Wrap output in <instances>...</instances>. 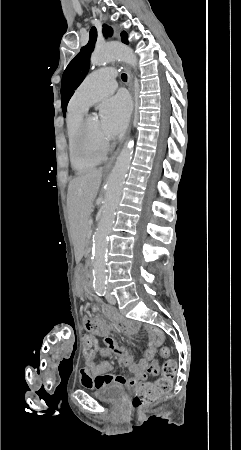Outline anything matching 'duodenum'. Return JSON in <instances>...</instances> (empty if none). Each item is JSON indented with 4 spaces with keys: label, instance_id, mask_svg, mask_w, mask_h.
<instances>
[{
    "label": "duodenum",
    "instance_id": "410a0bca",
    "mask_svg": "<svg viewBox=\"0 0 241 450\" xmlns=\"http://www.w3.org/2000/svg\"><path fill=\"white\" fill-rule=\"evenodd\" d=\"M86 270H87V278H86V287L88 290H93V265L92 261L89 259L86 263Z\"/></svg>",
    "mask_w": 241,
    "mask_h": 450
}]
</instances>
